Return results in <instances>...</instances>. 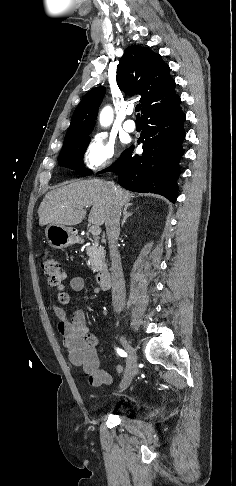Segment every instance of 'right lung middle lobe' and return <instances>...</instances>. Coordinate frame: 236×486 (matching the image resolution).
Wrapping results in <instances>:
<instances>
[{
	"label": "right lung middle lobe",
	"mask_w": 236,
	"mask_h": 486,
	"mask_svg": "<svg viewBox=\"0 0 236 486\" xmlns=\"http://www.w3.org/2000/svg\"><path fill=\"white\" fill-rule=\"evenodd\" d=\"M90 142L89 134L67 144H64L58 157L59 164L72 170L78 171L82 176L91 174L83 164V154Z\"/></svg>",
	"instance_id": "1"
}]
</instances>
